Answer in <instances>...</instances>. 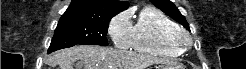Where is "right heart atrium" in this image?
<instances>
[{"instance_id": "1", "label": "right heart atrium", "mask_w": 246, "mask_h": 69, "mask_svg": "<svg viewBox=\"0 0 246 69\" xmlns=\"http://www.w3.org/2000/svg\"><path fill=\"white\" fill-rule=\"evenodd\" d=\"M131 22L127 12H122L111 19L108 25V34L117 48L130 46Z\"/></svg>"}]
</instances>
